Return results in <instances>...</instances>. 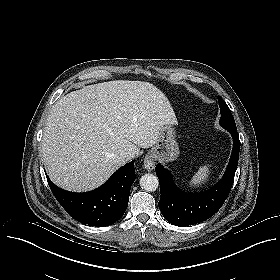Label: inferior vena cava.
I'll list each match as a JSON object with an SVG mask.
<instances>
[{
	"instance_id": "obj_1",
	"label": "inferior vena cava",
	"mask_w": 280,
	"mask_h": 280,
	"mask_svg": "<svg viewBox=\"0 0 280 280\" xmlns=\"http://www.w3.org/2000/svg\"><path fill=\"white\" fill-rule=\"evenodd\" d=\"M135 156H136V154L134 152L128 151V152H125L123 154L122 158H123L124 161L127 162V161H130V160L134 159Z\"/></svg>"
}]
</instances>
